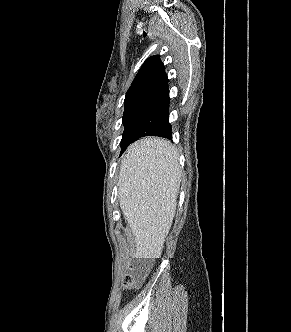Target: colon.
I'll return each mask as SVG.
<instances>
[{
    "label": "colon",
    "mask_w": 291,
    "mask_h": 332,
    "mask_svg": "<svg viewBox=\"0 0 291 332\" xmlns=\"http://www.w3.org/2000/svg\"><path fill=\"white\" fill-rule=\"evenodd\" d=\"M147 269L148 265L146 263L133 265L131 267V272L125 276L124 285L129 288L137 286L144 278Z\"/></svg>",
    "instance_id": "1"
}]
</instances>
